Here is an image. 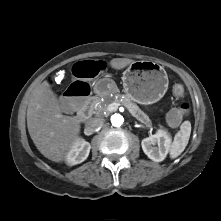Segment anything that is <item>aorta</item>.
<instances>
[{
	"instance_id": "aorta-1",
	"label": "aorta",
	"mask_w": 221,
	"mask_h": 221,
	"mask_svg": "<svg viewBox=\"0 0 221 221\" xmlns=\"http://www.w3.org/2000/svg\"><path fill=\"white\" fill-rule=\"evenodd\" d=\"M111 123L115 127H120L124 123V118L120 114H114L111 116Z\"/></svg>"
}]
</instances>
